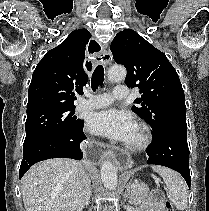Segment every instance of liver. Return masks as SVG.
<instances>
[{"instance_id": "1", "label": "liver", "mask_w": 209, "mask_h": 211, "mask_svg": "<svg viewBox=\"0 0 209 211\" xmlns=\"http://www.w3.org/2000/svg\"><path fill=\"white\" fill-rule=\"evenodd\" d=\"M86 176L81 162L67 158L32 166L21 180L26 211H82Z\"/></svg>"}]
</instances>
